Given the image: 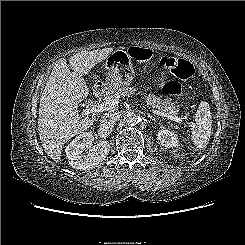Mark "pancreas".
I'll use <instances>...</instances> for the list:
<instances>
[{"mask_svg": "<svg viewBox=\"0 0 245 245\" xmlns=\"http://www.w3.org/2000/svg\"><path fill=\"white\" fill-rule=\"evenodd\" d=\"M135 91L132 87H123L119 88L118 91H110L108 95L106 96V100H112V99H119L123 96H129L133 94ZM146 103L150 105L152 108H156L159 111L169 114L170 110V104L166 100H162L161 97L155 96L152 93H149L147 96H145Z\"/></svg>", "mask_w": 245, "mask_h": 245, "instance_id": "pancreas-1", "label": "pancreas"}]
</instances>
